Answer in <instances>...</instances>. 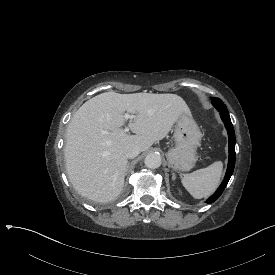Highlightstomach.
<instances>
[{"label":"stomach","mask_w":275,"mask_h":275,"mask_svg":"<svg viewBox=\"0 0 275 275\" xmlns=\"http://www.w3.org/2000/svg\"><path fill=\"white\" fill-rule=\"evenodd\" d=\"M176 147L168 153L169 165L175 170H190L196 162V149L200 145L202 132L190 110H180L174 123Z\"/></svg>","instance_id":"1"}]
</instances>
